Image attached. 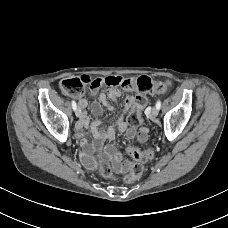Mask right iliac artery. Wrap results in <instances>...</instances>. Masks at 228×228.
Returning <instances> with one entry per match:
<instances>
[{
  "instance_id": "right-iliac-artery-1",
  "label": "right iliac artery",
  "mask_w": 228,
  "mask_h": 228,
  "mask_svg": "<svg viewBox=\"0 0 228 228\" xmlns=\"http://www.w3.org/2000/svg\"><path fill=\"white\" fill-rule=\"evenodd\" d=\"M72 108H73L74 110H76V108H77V105H76V102H75V101H72Z\"/></svg>"
}]
</instances>
